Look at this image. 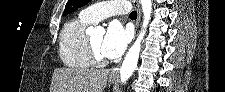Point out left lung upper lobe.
Segmentation results:
<instances>
[{
    "mask_svg": "<svg viewBox=\"0 0 225 92\" xmlns=\"http://www.w3.org/2000/svg\"><path fill=\"white\" fill-rule=\"evenodd\" d=\"M91 0H69L68 4L63 12V16L67 15L75 10H77L78 8L86 5L87 3H89Z\"/></svg>",
    "mask_w": 225,
    "mask_h": 92,
    "instance_id": "left-lung-upper-lobe-1",
    "label": "left lung upper lobe"
}]
</instances>
